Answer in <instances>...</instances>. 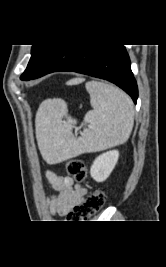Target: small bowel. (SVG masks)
<instances>
[{
    "label": "small bowel",
    "mask_w": 166,
    "mask_h": 267,
    "mask_svg": "<svg viewBox=\"0 0 166 267\" xmlns=\"http://www.w3.org/2000/svg\"><path fill=\"white\" fill-rule=\"evenodd\" d=\"M48 183L57 191L50 199V210L53 214L62 216L76 205L80 204L86 194V189L75 184L71 177L57 175L52 170L45 172Z\"/></svg>",
    "instance_id": "1"
}]
</instances>
